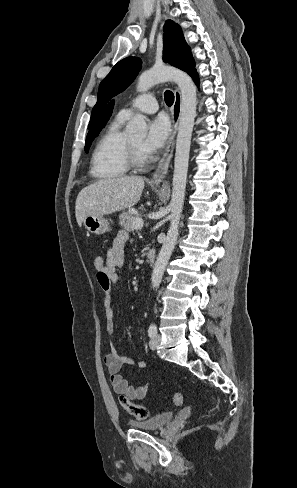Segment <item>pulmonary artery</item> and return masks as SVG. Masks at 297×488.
Returning <instances> with one entry per match:
<instances>
[{
	"instance_id": "obj_1",
	"label": "pulmonary artery",
	"mask_w": 297,
	"mask_h": 488,
	"mask_svg": "<svg viewBox=\"0 0 297 488\" xmlns=\"http://www.w3.org/2000/svg\"><path fill=\"white\" fill-rule=\"evenodd\" d=\"M158 110V102L152 94H142L131 100L128 107L119 112V116L128 118L134 111H141L147 114L155 113Z\"/></svg>"
}]
</instances>
